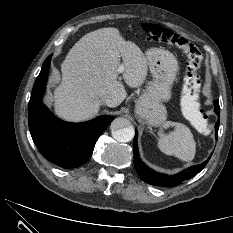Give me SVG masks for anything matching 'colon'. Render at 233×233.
<instances>
[{
  "instance_id": "1",
  "label": "colon",
  "mask_w": 233,
  "mask_h": 233,
  "mask_svg": "<svg viewBox=\"0 0 233 233\" xmlns=\"http://www.w3.org/2000/svg\"><path fill=\"white\" fill-rule=\"evenodd\" d=\"M141 28L153 40L177 46L186 54L188 61L184 76L182 108L190 121L197 124L201 131L208 132L209 124L198 102L201 85L199 70L203 60L201 51L183 36L158 24L146 22Z\"/></svg>"
}]
</instances>
